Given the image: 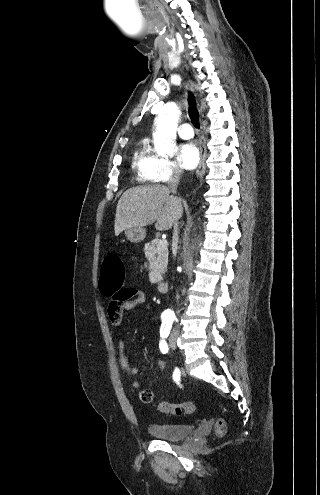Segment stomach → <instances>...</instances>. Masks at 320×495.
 Listing matches in <instances>:
<instances>
[{
	"label": "stomach",
	"mask_w": 320,
	"mask_h": 495,
	"mask_svg": "<svg viewBox=\"0 0 320 495\" xmlns=\"http://www.w3.org/2000/svg\"><path fill=\"white\" fill-rule=\"evenodd\" d=\"M127 239L133 243L141 242L146 236V230L143 227H131L125 230Z\"/></svg>",
	"instance_id": "stomach-1"
}]
</instances>
